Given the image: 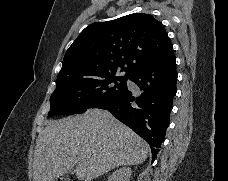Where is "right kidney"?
Instances as JSON below:
<instances>
[{
	"instance_id": "1",
	"label": "right kidney",
	"mask_w": 228,
	"mask_h": 181,
	"mask_svg": "<svg viewBox=\"0 0 228 181\" xmlns=\"http://www.w3.org/2000/svg\"><path fill=\"white\" fill-rule=\"evenodd\" d=\"M130 179L131 169H129V167H122V169H118V171L112 173L108 181H130Z\"/></svg>"
}]
</instances>
